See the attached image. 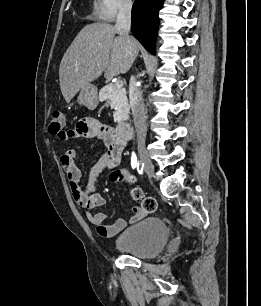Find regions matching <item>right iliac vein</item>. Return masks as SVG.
<instances>
[{
	"label": "right iliac vein",
	"mask_w": 261,
	"mask_h": 306,
	"mask_svg": "<svg viewBox=\"0 0 261 306\" xmlns=\"http://www.w3.org/2000/svg\"><path fill=\"white\" fill-rule=\"evenodd\" d=\"M138 154L141 163L144 165V170L149 178H152L154 176V166L148 156V153L145 149V145L143 141L138 142Z\"/></svg>",
	"instance_id": "63e3f726"
}]
</instances>
